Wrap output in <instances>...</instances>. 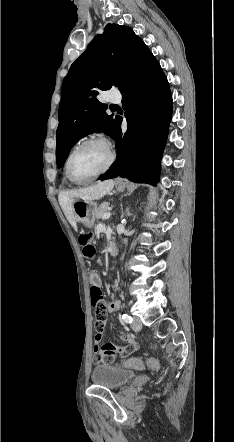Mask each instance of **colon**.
<instances>
[{
	"label": "colon",
	"instance_id": "5ec220e1",
	"mask_svg": "<svg viewBox=\"0 0 234 442\" xmlns=\"http://www.w3.org/2000/svg\"><path fill=\"white\" fill-rule=\"evenodd\" d=\"M91 234L82 233L79 236V243L83 247V254L88 260H93L96 256V248L91 244ZM100 280L99 274L96 271L90 273L91 282V304L97 314H107V304L105 302L101 288L97 286ZM125 348V347H123ZM136 351V350H135ZM122 354V353H121ZM144 366L148 367L150 370L156 371L159 368V359L156 356H149L146 359L140 360L137 356H130L127 359V363L122 365L124 370L135 371L137 369H142ZM160 382H165V377H160Z\"/></svg>",
	"mask_w": 234,
	"mask_h": 442
}]
</instances>
